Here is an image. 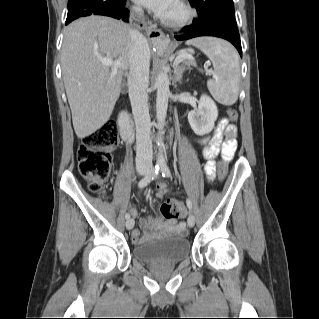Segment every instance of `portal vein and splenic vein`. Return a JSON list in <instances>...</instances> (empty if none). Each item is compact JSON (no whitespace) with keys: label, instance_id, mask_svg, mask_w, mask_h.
<instances>
[{"label":"portal vein and splenic vein","instance_id":"18ae733b","mask_svg":"<svg viewBox=\"0 0 319 319\" xmlns=\"http://www.w3.org/2000/svg\"><path fill=\"white\" fill-rule=\"evenodd\" d=\"M99 60L105 66H111L114 68H118V67L123 66V63L119 60L114 61V60L106 58V57H100ZM183 60H194V58L191 54H188V53L181 54L175 59L174 65L179 64ZM206 74L211 75L212 72L209 70H206Z\"/></svg>","mask_w":319,"mask_h":319}]
</instances>
